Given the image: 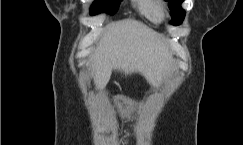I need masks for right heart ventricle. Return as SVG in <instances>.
I'll return each instance as SVG.
<instances>
[{"mask_svg":"<svg viewBox=\"0 0 243 145\" xmlns=\"http://www.w3.org/2000/svg\"><path fill=\"white\" fill-rule=\"evenodd\" d=\"M141 14L153 23H160L163 18L162 0H136Z\"/></svg>","mask_w":243,"mask_h":145,"instance_id":"e07e8e85","label":"right heart ventricle"}]
</instances>
